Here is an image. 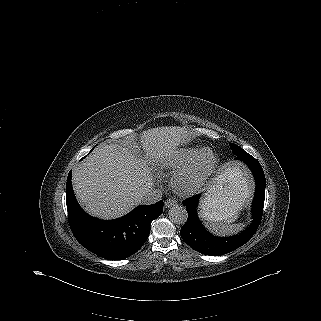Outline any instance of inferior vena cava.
Returning <instances> with one entry per match:
<instances>
[{
	"mask_svg": "<svg viewBox=\"0 0 321 321\" xmlns=\"http://www.w3.org/2000/svg\"><path fill=\"white\" fill-rule=\"evenodd\" d=\"M162 198V191L157 188L147 190L140 198V203L150 205L158 202Z\"/></svg>",
	"mask_w": 321,
	"mask_h": 321,
	"instance_id": "inferior-vena-cava-1",
	"label": "inferior vena cava"
}]
</instances>
